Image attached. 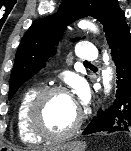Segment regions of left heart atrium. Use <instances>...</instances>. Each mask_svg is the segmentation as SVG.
<instances>
[{
    "label": "left heart atrium",
    "instance_id": "1",
    "mask_svg": "<svg viewBox=\"0 0 131 151\" xmlns=\"http://www.w3.org/2000/svg\"><path fill=\"white\" fill-rule=\"evenodd\" d=\"M86 99H87L86 89L83 86H79L77 88V100H75L77 107L80 108V105L84 104Z\"/></svg>",
    "mask_w": 131,
    "mask_h": 151
}]
</instances>
